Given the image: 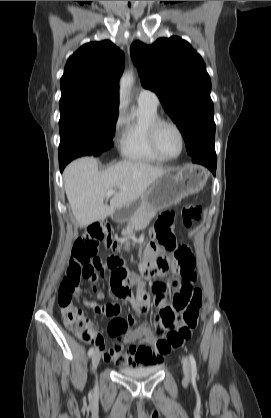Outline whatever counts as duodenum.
Returning a JSON list of instances; mask_svg holds the SVG:
<instances>
[{"mask_svg":"<svg viewBox=\"0 0 271 418\" xmlns=\"http://www.w3.org/2000/svg\"><path fill=\"white\" fill-rule=\"evenodd\" d=\"M113 219L115 220V221H122L123 219H124V213L122 212V211H116V212H114V214H113ZM111 262H112V265L114 266V267H116V266H119V265H122L123 264V262L120 260V259H118V258H112L111 259Z\"/></svg>","mask_w":271,"mask_h":418,"instance_id":"duodenum-1","label":"duodenum"}]
</instances>
